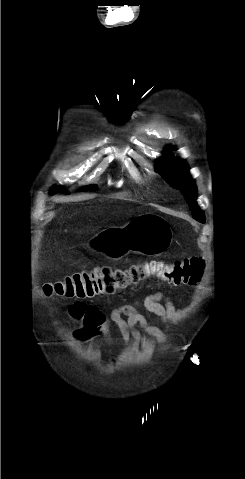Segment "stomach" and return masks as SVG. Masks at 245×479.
Here are the masks:
<instances>
[{
	"label": "stomach",
	"mask_w": 245,
	"mask_h": 479,
	"mask_svg": "<svg viewBox=\"0 0 245 479\" xmlns=\"http://www.w3.org/2000/svg\"><path fill=\"white\" fill-rule=\"evenodd\" d=\"M172 230L168 221L155 213L132 219L121 228H110L95 236L89 245L107 258L119 260L129 252L148 256L162 254L171 244Z\"/></svg>",
	"instance_id": "1"
}]
</instances>
